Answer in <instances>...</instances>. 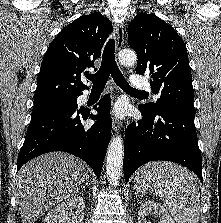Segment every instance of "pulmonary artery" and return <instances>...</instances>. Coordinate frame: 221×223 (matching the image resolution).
Here are the masks:
<instances>
[{
	"label": "pulmonary artery",
	"instance_id": "pulmonary-artery-1",
	"mask_svg": "<svg viewBox=\"0 0 221 223\" xmlns=\"http://www.w3.org/2000/svg\"><path fill=\"white\" fill-rule=\"evenodd\" d=\"M130 81H131L132 86L136 89H148L150 87L148 80L144 77L132 75ZM154 98L157 99L159 98V96L154 95Z\"/></svg>",
	"mask_w": 221,
	"mask_h": 223
}]
</instances>
